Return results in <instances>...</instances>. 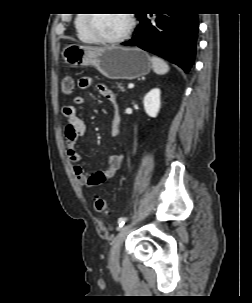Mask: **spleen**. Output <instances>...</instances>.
Instances as JSON below:
<instances>
[{"label":"spleen","mask_w":252,"mask_h":303,"mask_svg":"<svg viewBox=\"0 0 252 303\" xmlns=\"http://www.w3.org/2000/svg\"><path fill=\"white\" fill-rule=\"evenodd\" d=\"M153 71L158 75H164L169 71L168 64L161 58L151 57Z\"/></svg>","instance_id":"1"}]
</instances>
